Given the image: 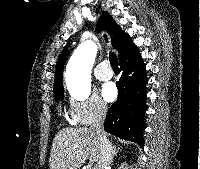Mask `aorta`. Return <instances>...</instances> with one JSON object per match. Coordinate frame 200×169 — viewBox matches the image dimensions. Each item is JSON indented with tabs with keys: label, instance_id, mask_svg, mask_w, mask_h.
Instances as JSON below:
<instances>
[{
	"label": "aorta",
	"instance_id": "1",
	"mask_svg": "<svg viewBox=\"0 0 200 169\" xmlns=\"http://www.w3.org/2000/svg\"><path fill=\"white\" fill-rule=\"evenodd\" d=\"M97 47L92 41L81 43L72 54L66 69V85L77 99H85L91 91V70Z\"/></svg>",
	"mask_w": 200,
	"mask_h": 169
}]
</instances>
